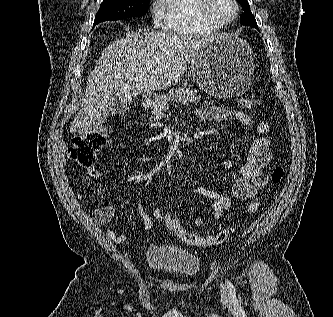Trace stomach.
Wrapping results in <instances>:
<instances>
[{
	"label": "stomach",
	"instance_id": "1",
	"mask_svg": "<svg viewBox=\"0 0 333 317\" xmlns=\"http://www.w3.org/2000/svg\"><path fill=\"white\" fill-rule=\"evenodd\" d=\"M193 79L207 94L230 99L244 94L252 85L254 54L249 44L234 35H216L198 50L190 64ZM157 97L145 98L154 106Z\"/></svg>",
	"mask_w": 333,
	"mask_h": 317
}]
</instances>
